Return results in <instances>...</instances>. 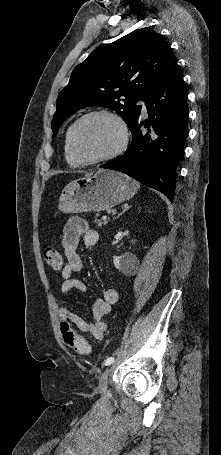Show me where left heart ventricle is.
<instances>
[{
  "mask_svg": "<svg viewBox=\"0 0 221 455\" xmlns=\"http://www.w3.org/2000/svg\"><path fill=\"white\" fill-rule=\"evenodd\" d=\"M119 142V128L107 117L90 118L77 131V147L86 158L103 156L115 149Z\"/></svg>",
  "mask_w": 221,
  "mask_h": 455,
  "instance_id": "1",
  "label": "left heart ventricle"
}]
</instances>
